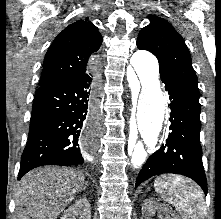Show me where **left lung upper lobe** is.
<instances>
[{"instance_id": "obj_1", "label": "left lung upper lobe", "mask_w": 221, "mask_h": 219, "mask_svg": "<svg viewBox=\"0 0 221 219\" xmlns=\"http://www.w3.org/2000/svg\"><path fill=\"white\" fill-rule=\"evenodd\" d=\"M149 19L150 24L138 35L137 47L157 57L161 80L171 78L198 91L190 53L181 35L166 20L153 16Z\"/></svg>"}]
</instances>
